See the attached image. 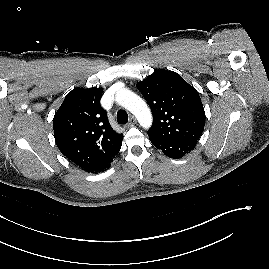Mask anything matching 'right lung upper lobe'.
I'll return each instance as SVG.
<instances>
[{"instance_id":"1","label":"right lung upper lobe","mask_w":269,"mask_h":269,"mask_svg":"<svg viewBox=\"0 0 269 269\" xmlns=\"http://www.w3.org/2000/svg\"><path fill=\"white\" fill-rule=\"evenodd\" d=\"M103 89L76 88L69 92L53 118L54 138L59 150L84 170L104 161L122 143L101 107Z\"/></svg>"}]
</instances>
